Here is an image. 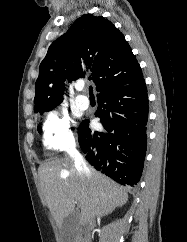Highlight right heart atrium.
Instances as JSON below:
<instances>
[{"label": "right heart atrium", "instance_id": "right-heart-atrium-1", "mask_svg": "<svg viewBox=\"0 0 187 242\" xmlns=\"http://www.w3.org/2000/svg\"><path fill=\"white\" fill-rule=\"evenodd\" d=\"M43 143L48 150L61 151L74 144L71 121L66 114L52 112L43 127Z\"/></svg>", "mask_w": 187, "mask_h": 242}]
</instances>
